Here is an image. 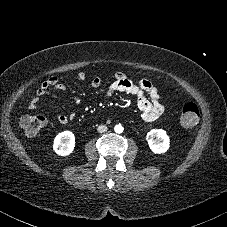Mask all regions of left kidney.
<instances>
[{
	"mask_svg": "<svg viewBox=\"0 0 227 227\" xmlns=\"http://www.w3.org/2000/svg\"><path fill=\"white\" fill-rule=\"evenodd\" d=\"M146 139L151 151L154 153H165L170 147L169 136L163 129H151L147 133Z\"/></svg>",
	"mask_w": 227,
	"mask_h": 227,
	"instance_id": "obj_1",
	"label": "left kidney"
}]
</instances>
